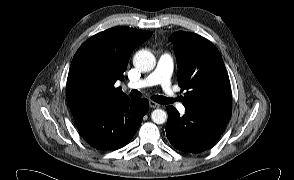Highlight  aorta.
<instances>
[{
	"label": "aorta",
	"instance_id": "762f6f07",
	"mask_svg": "<svg viewBox=\"0 0 294 180\" xmlns=\"http://www.w3.org/2000/svg\"><path fill=\"white\" fill-rule=\"evenodd\" d=\"M133 63L142 72H149L156 65L155 56L147 50H139L133 58ZM151 119L156 124H163L167 120V113L162 109H155L151 113Z\"/></svg>",
	"mask_w": 294,
	"mask_h": 180
}]
</instances>
